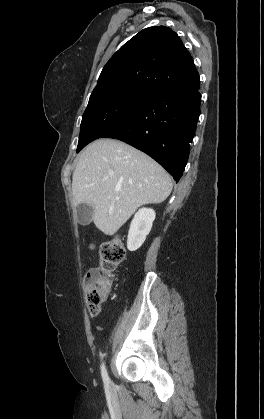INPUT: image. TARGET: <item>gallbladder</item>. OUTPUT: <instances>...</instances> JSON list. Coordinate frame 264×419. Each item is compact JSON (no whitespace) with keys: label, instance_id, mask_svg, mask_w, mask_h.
<instances>
[{"label":"gallbladder","instance_id":"1","mask_svg":"<svg viewBox=\"0 0 264 419\" xmlns=\"http://www.w3.org/2000/svg\"><path fill=\"white\" fill-rule=\"evenodd\" d=\"M77 219L79 224L88 225L92 221L93 207L88 204H80L76 208Z\"/></svg>","mask_w":264,"mask_h":419}]
</instances>
